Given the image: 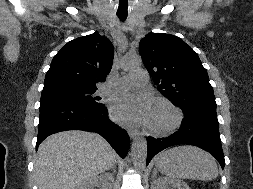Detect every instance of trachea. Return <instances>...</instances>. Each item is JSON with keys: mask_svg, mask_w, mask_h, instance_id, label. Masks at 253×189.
<instances>
[{"mask_svg": "<svg viewBox=\"0 0 253 189\" xmlns=\"http://www.w3.org/2000/svg\"><path fill=\"white\" fill-rule=\"evenodd\" d=\"M117 16H118V18H119L121 21H125L126 18H127V14H118V13H117Z\"/></svg>", "mask_w": 253, "mask_h": 189, "instance_id": "trachea-1", "label": "trachea"}]
</instances>
